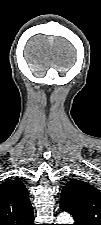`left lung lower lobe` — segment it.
Returning a JSON list of instances; mask_svg holds the SVG:
<instances>
[{"label":"left lung lower lobe","mask_w":101,"mask_h":225,"mask_svg":"<svg viewBox=\"0 0 101 225\" xmlns=\"http://www.w3.org/2000/svg\"><path fill=\"white\" fill-rule=\"evenodd\" d=\"M74 225H91V224L85 223V222H81V221H76V222L74 223Z\"/></svg>","instance_id":"obj_1"}]
</instances>
